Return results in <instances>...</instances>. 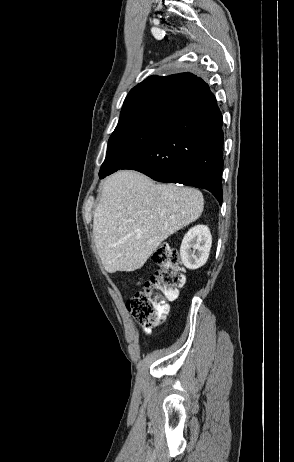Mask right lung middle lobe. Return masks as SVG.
Instances as JSON below:
<instances>
[{"label": "right lung middle lobe", "mask_w": 294, "mask_h": 462, "mask_svg": "<svg viewBox=\"0 0 294 462\" xmlns=\"http://www.w3.org/2000/svg\"><path fill=\"white\" fill-rule=\"evenodd\" d=\"M186 104L184 97L173 93L121 110L99 176L120 169L144 144L164 131Z\"/></svg>", "instance_id": "1"}]
</instances>
